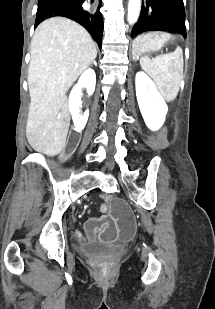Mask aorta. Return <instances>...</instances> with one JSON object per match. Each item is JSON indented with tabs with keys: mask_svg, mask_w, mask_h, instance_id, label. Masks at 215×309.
<instances>
[{
	"mask_svg": "<svg viewBox=\"0 0 215 309\" xmlns=\"http://www.w3.org/2000/svg\"><path fill=\"white\" fill-rule=\"evenodd\" d=\"M141 10V0H129L127 20L129 24H135L139 18Z\"/></svg>",
	"mask_w": 215,
	"mask_h": 309,
	"instance_id": "aorta-1",
	"label": "aorta"
}]
</instances>
